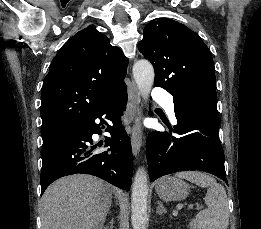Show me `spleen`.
<instances>
[{"instance_id": "3e777b00", "label": "spleen", "mask_w": 261, "mask_h": 229, "mask_svg": "<svg viewBox=\"0 0 261 229\" xmlns=\"http://www.w3.org/2000/svg\"><path fill=\"white\" fill-rule=\"evenodd\" d=\"M175 177L186 179L198 187H209L205 197L208 209H204L196 215L200 229H228V201L222 185H219L213 177H209L205 173H197V171H183V173H176Z\"/></svg>"}]
</instances>
